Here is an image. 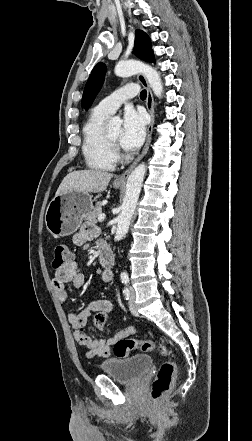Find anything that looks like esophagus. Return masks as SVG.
<instances>
[{
	"mask_svg": "<svg viewBox=\"0 0 252 441\" xmlns=\"http://www.w3.org/2000/svg\"><path fill=\"white\" fill-rule=\"evenodd\" d=\"M137 79L145 87V89L147 91L146 108H147V110L149 112V115H150V123H149L148 130H147L146 143L144 145V148H143L142 152L135 159V161L129 166V168L124 173H122L120 176H118L116 178L115 181L119 182V183H125L126 182L128 176L130 175V173L132 172L134 167L138 164V162L147 153V151L149 149L150 142H151V138H152L153 126H154V123H155L154 99H153L152 91L150 89L148 81H147L146 77L143 74H139L137 76Z\"/></svg>",
	"mask_w": 252,
	"mask_h": 441,
	"instance_id": "1",
	"label": "esophagus"
}]
</instances>
